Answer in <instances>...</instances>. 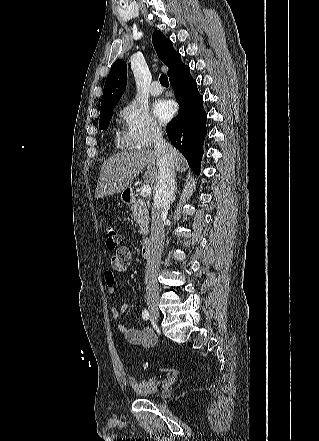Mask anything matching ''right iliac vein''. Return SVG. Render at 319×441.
<instances>
[{"instance_id":"obj_1","label":"right iliac vein","mask_w":319,"mask_h":441,"mask_svg":"<svg viewBox=\"0 0 319 441\" xmlns=\"http://www.w3.org/2000/svg\"><path fill=\"white\" fill-rule=\"evenodd\" d=\"M147 305H148V309L151 314V317L154 320L158 321V318H159L158 302L156 300L151 299V300H148Z\"/></svg>"}]
</instances>
